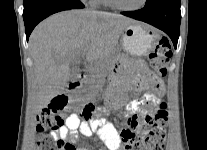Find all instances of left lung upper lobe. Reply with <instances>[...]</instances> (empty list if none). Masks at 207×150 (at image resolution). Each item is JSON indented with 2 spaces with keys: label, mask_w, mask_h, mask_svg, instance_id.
I'll return each mask as SVG.
<instances>
[{
  "label": "left lung upper lobe",
  "mask_w": 207,
  "mask_h": 150,
  "mask_svg": "<svg viewBox=\"0 0 207 150\" xmlns=\"http://www.w3.org/2000/svg\"><path fill=\"white\" fill-rule=\"evenodd\" d=\"M155 1H157V0H147V1H146V5L152 4V3L155 2Z\"/></svg>",
  "instance_id": "1"
}]
</instances>
